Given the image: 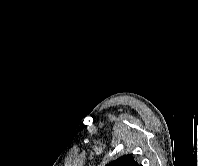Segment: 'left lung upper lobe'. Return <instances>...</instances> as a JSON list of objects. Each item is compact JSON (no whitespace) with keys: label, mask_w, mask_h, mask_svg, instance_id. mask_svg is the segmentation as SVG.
I'll list each match as a JSON object with an SVG mask.
<instances>
[{"label":"left lung upper lobe","mask_w":198,"mask_h":166,"mask_svg":"<svg viewBox=\"0 0 198 166\" xmlns=\"http://www.w3.org/2000/svg\"><path fill=\"white\" fill-rule=\"evenodd\" d=\"M106 166H140L133 158L132 155H124L117 160L112 161Z\"/></svg>","instance_id":"5c2ea615"}]
</instances>
